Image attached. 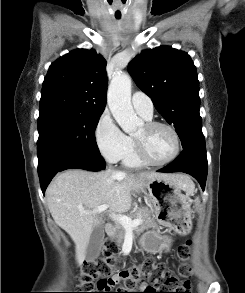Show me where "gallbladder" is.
Here are the masks:
<instances>
[{"mask_svg": "<svg viewBox=\"0 0 245 293\" xmlns=\"http://www.w3.org/2000/svg\"><path fill=\"white\" fill-rule=\"evenodd\" d=\"M104 236V226L102 224L96 225L86 248V259L88 261H92L99 256Z\"/></svg>", "mask_w": 245, "mask_h": 293, "instance_id": "gallbladder-1", "label": "gallbladder"}]
</instances>
